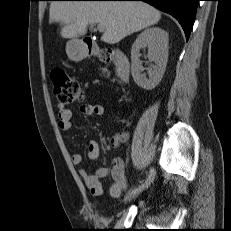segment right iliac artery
I'll use <instances>...</instances> for the list:
<instances>
[{"mask_svg":"<svg viewBox=\"0 0 231 231\" xmlns=\"http://www.w3.org/2000/svg\"><path fill=\"white\" fill-rule=\"evenodd\" d=\"M140 187H141L140 185H139V186H135V188H134V190H133L132 192L138 191V189H139Z\"/></svg>","mask_w":231,"mask_h":231,"instance_id":"82829eb1","label":"right iliac artery"}]
</instances>
